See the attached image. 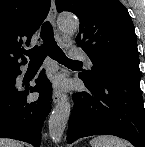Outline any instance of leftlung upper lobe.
Returning <instances> with one entry per match:
<instances>
[{
	"label": "left lung upper lobe",
	"mask_w": 145,
	"mask_h": 147,
	"mask_svg": "<svg viewBox=\"0 0 145 147\" xmlns=\"http://www.w3.org/2000/svg\"><path fill=\"white\" fill-rule=\"evenodd\" d=\"M57 11H70L80 20L76 43L93 63L82 72L92 79L105 68H139L137 40L128 10L119 0H56Z\"/></svg>",
	"instance_id": "left-lung-upper-lobe-1"
}]
</instances>
